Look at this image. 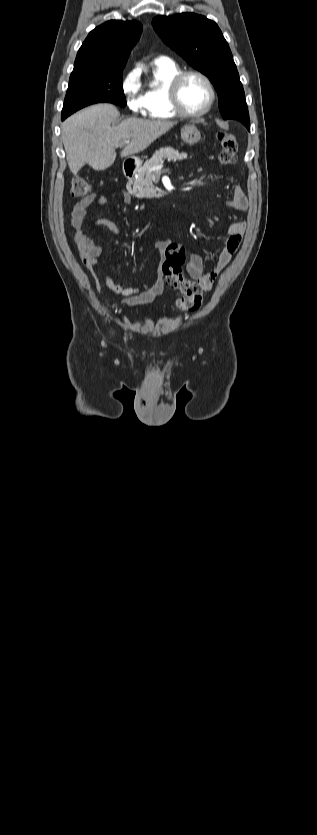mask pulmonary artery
<instances>
[{"label": "pulmonary artery", "instance_id": "1", "mask_svg": "<svg viewBox=\"0 0 317 835\" xmlns=\"http://www.w3.org/2000/svg\"><path fill=\"white\" fill-rule=\"evenodd\" d=\"M164 59H168V58L163 57V56H160V57H157V58L155 59V61L164 60Z\"/></svg>", "mask_w": 317, "mask_h": 835}]
</instances>
